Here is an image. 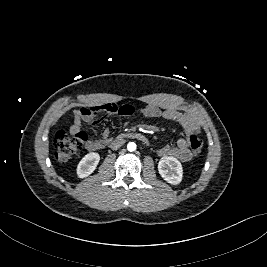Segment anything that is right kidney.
I'll return each mask as SVG.
<instances>
[{"label": "right kidney", "instance_id": "obj_1", "mask_svg": "<svg viewBox=\"0 0 267 267\" xmlns=\"http://www.w3.org/2000/svg\"><path fill=\"white\" fill-rule=\"evenodd\" d=\"M100 161V155L96 152L86 154L77 166V176L79 178L88 177L94 172Z\"/></svg>", "mask_w": 267, "mask_h": 267}]
</instances>
